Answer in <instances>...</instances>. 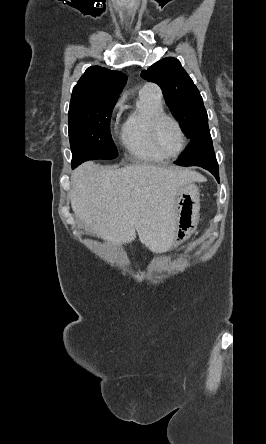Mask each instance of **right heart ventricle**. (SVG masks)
Listing matches in <instances>:
<instances>
[{
  "label": "right heart ventricle",
  "mask_w": 266,
  "mask_h": 444,
  "mask_svg": "<svg viewBox=\"0 0 266 444\" xmlns=\"http://www.w3.org/2000/svg\"><path fill=\"white\" fill-rule=\"evenodd\" d=\"M161 98L140 92L135 108L128 115L121 140L127 152L142 161H162L165 156L158 153L150 138V123L154 116L163 113Z\"/></svg>",
  "instance_id": "obj_1"
}]
</instances>
